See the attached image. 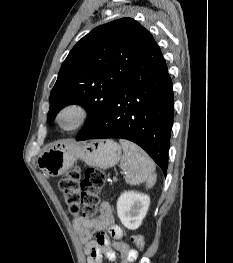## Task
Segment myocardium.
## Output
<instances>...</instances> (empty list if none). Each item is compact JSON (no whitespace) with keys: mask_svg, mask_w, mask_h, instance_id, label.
Segmentation results:
<instances>
[{"mask_svg":"<svg viewBox=\"0 0 233 263\" xmlns=\"http://www.w3.org/2000/svg\"><path fill=\"white\" fill-rule=\"evenodd\" d=\"M71 114L74 116V121L71 125L66 126L63 124L64 116ZM88 110L80 103H69L63 106L55 117V122L58 127L66 132H72L82 127L88 120Z\"/></svg>","mask_w":233,"mask_h":263,"instance_id":"f54148a6","label":"myocardium"}]
</instances>
